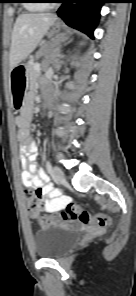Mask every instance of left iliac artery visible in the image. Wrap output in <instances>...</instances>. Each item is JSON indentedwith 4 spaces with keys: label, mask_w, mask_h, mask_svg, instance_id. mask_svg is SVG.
Masks as SVG:
<instances>
[{
    "label": "left iliac artery",
    "mask_w": 136,
    "mask_h": 296,
    "mask_svg": "<svg viewBox=\"0 0 136 296\" xmlns=\"http://www.w3.org/2000/svg\"><path fill=\"white\" fill-rule=\"evenodd\" d=\"M46 167H47L48 173H51L52 172V166H51V163L50 162H47L46 163Z\"/></svg>",
    "instance_id": "obj_1"
}]
</instances>
